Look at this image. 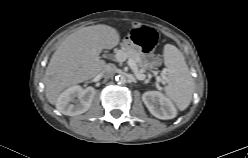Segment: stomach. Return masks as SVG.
<instances>
[{"instance_id": "0dacf381", "label": "stomach", "mask_w": 248, "mask_h": 158, "mask_svg": "<svg viewBox=\"0 0 248 158\" xmlns=\"http://www.w3.org/2000/svg\"><path fill=\"white\" fill-rule=\"evenodd\" d=\"M143 57H144L145 61H147L149 63L148 69H151L156 65L152 54H143Z\"/></svg>"}]
</instances>
